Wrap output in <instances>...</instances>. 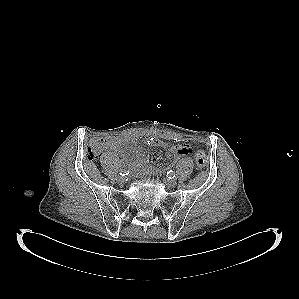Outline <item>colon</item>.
Wrapping results in <instances>:
<instances>
[{"label": "colon", "mask_w": 299, "mask_h": 299, "mask_svg": "<svg viewBox=\"0 0 299 299\" xmlns=\"http://www.w3.org/2000/svg\"><path fill=\"white\" fill-rule=\"evenodd\" d=\"M105 139L96 138L91 141L88 148V156L90 159H96L100 156L103 148L106 145ZM195 163L199 170H203L206 167V156L202 150H196L194 152Z\"/></svg>", "instance_id": "obj_1"}]
</instances>
